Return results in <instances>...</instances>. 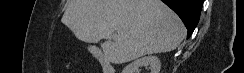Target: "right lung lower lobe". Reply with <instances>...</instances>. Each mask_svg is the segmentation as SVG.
<instances>
[{
    "label": "right lung lower lobe",
    "mask_w": 244,
    "mask_h": 73,
    "mask_svg": "<svg viewBox=\"0 0 244 73\" xmlns=\"http://www.w3.org/2000/svg\"><path fill=\"white\" fill-rule=\"evenodd\" d=\"M168 5L181 18L186 28L188 29L187 38L193 33L196 28L203 0H161Z\"/></svg>",
    "instance_id": "obj_1"
}]
</instances>
